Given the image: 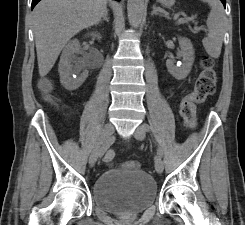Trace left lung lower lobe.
I'll list each match as a JSON object with an SVG mask.
<instances>
[{
  "instance_id": "0a47b994",
  "label": "left lung lower lobe",
  "mask_w": 245,
  "mask_h": 225,
  "mask_svg": "<svg viewBox=\"0 0 245 225\" xmlns=\"http://www.w3.org/2000/svg\"><path fill=\"white\" fill-rule=\"evenodd\" d=\"M220 1L223 3L224 6L226 5V0H220Z\"/></svg>"
}]
</instances>
